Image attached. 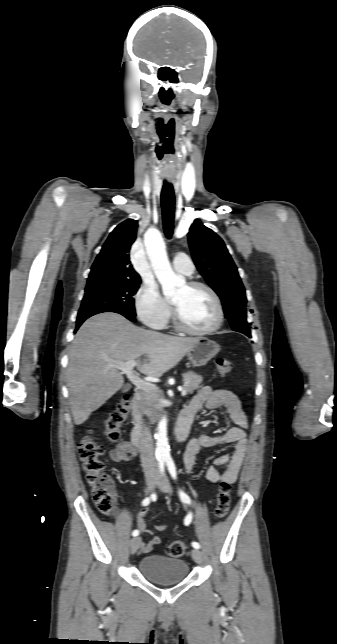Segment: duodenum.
Returning <instances> with one entry per match:
<instances>
[{
	"label": "duodenum",
	"mask_w": 337,
	"mask_h": 644,
	"mask_svg": "<svg viewBox=\"0 0 337 644\" xmlns=\"http://www.w3.org/2000/svg\"><path fill=\"white\" fill-rule=\"evenodd\" d=\"M131 411L133 415V427L130 432L131 443L134 447L141 448L143 446L145 436L142 429L143 413L137 396L132 399ZM191 424L192 418L188 414L181 413L173 432L174 438L177 442H183L187 439Z\"/></svg>",
	"instance_id": "obj_1"
}]
</instances>
